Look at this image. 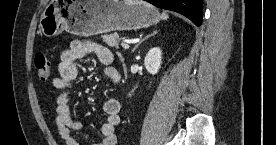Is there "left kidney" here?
I'll return each instance as SVG.
<instances>
[{"label":"left kidney","instance_id":"obj_1","mask_svg":"<svg viewBox=\"0 0 276 145\" xmlns=\"http://www.w3.org/2000/svg\"><path fill=\"white\" fill-rule=\"evenodd\" d=\"M161 64H162L161 49L159 47H154L150 49L144 59V65L146 67V70L150 74L155 75L158 73L159 69L161 68Z\"/></svg>","mask_w":276,"mask_h":145}]
</instances>
